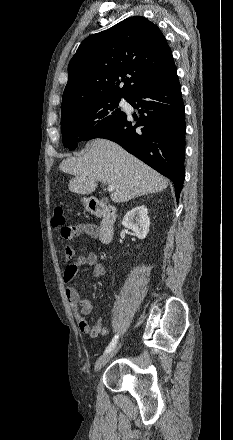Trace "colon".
Returning a JSON list of instances; mask_svg holds the SVG:
<instances>
[{
	"label": "colon",
	"instance_id": "1",
	"mask_svg": "<svg viewBox=\"0 0 233 440\" xmlns=\"http://www.w3.org/2000/svg\"><path fill=\"white\" fill-rule=\"evenodd\" d=\"M52 225L55 227H64L65 226V216L64 211L61 206H54L52 210Z\"/></svg>",
	"mask_w": 233,
	"mask_h": 440
}]
</instances>
